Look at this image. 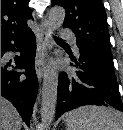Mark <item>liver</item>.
<instances>
[{"label": "liver", "mask_w": 123, "mask_h": 130, "mask_svg": "<svg viewBox=\"0 0 123 130\" xmlns=\"http://www.w3.org/2000/svg\"><path fill=\"white\" fill-rule=\"evenodd\" d=\"M21 117L15 107L1 97V130H21Z\"/></svg>", "instance_id": "1"}]
</instances>
